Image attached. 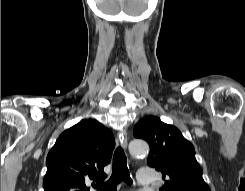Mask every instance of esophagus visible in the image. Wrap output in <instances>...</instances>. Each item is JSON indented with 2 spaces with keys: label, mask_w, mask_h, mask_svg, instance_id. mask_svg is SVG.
Masks as SVG:
<instances>
[{
  "label": "esophagus",
  "mask_w": 245,
  "mask_h": 191,
  "mask_svg": "<svg viewBox=\"0 0 245 191\" xmlns=\"http://www.w3.org/2000/svg\"><path fill=\"white\" fill-rule=\"evenodd\" d=\"M118 140L121 144V146L126 149L127 144H128V137H127V132L125 129H122L118 132Z\"/></svg>",
  "instance_id": "obj_1"
}]
</instances>
